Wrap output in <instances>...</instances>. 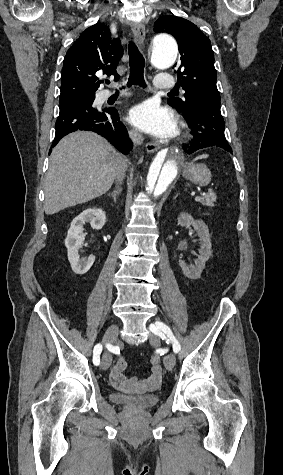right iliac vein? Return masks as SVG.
<instances>
[{"instance_id": "right-iliac-vein-1", "label": "right iliac vein", "mask_w": 283, "mask_h": 475, "mask_svg": "<svg viewBox=\"0 0 283 475\" xmlns=\"http://www.w3.org/2000/svg\"><path fill=\"white\" fill-rule=\"evenodd\" d=\"M118 332H119V328L117 325L113 324L109 326L104 333L103 343L104 344L114 343L117 338ZM111 361H112L111 355L109 353H105L102 356L101 368L104 370L108 369L111 365Z\"/></svg>"}]
</instances>
